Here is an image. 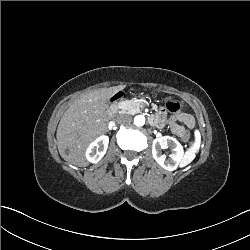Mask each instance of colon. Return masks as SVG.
<instances>
[{
  "mask_svg": "<svg viewBox=\"0 0 250 250\" xmlns=\"http://www.w3.org/2000/svg\"><path fill=\"white\" fill-rule=\"evenodd\" d=\"M166 110L175 115L176 117H179L181 121H183L185 124L188 126L192 127L194 125L193 119L187 115V114H182L181 112V104L179 102H168L165 105ZM192 139V134L188 130H184L181 135H180V140L183 141L184 143H189L190 140Z\"/></svg>",
  "mask_w": 250,
  "mask_h": 250,
  "instance_id": "colon-1",
  "label": "colon"
}]
</instances>
